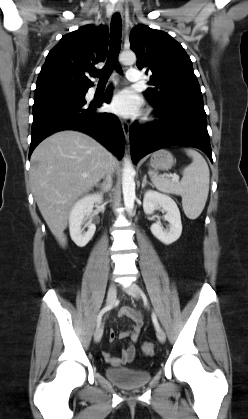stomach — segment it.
<instances>
[{
  "mask_svg": "<svg viewBox=\"0 0 248 419\" xmlns=\"http://www.w3.org/2000/svg\"><path fill=\"white\" fill-rule=\"evenodd\" d=\"M173 164V155L164 149L154 152L150 159V165L156 169L167 170L170 169Z\"/></svg>",
  "mask_w": 248,
  "mask_h": 419,
  "instance_id": "1",
  "label": "stomach"
}]
</instances>
